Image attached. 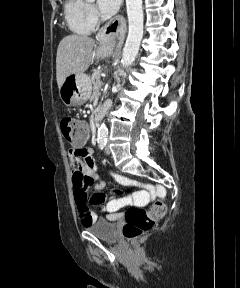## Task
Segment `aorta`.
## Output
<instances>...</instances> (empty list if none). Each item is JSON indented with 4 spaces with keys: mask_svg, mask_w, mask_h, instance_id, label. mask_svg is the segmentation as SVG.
Segmentation results:
<instances>
[{
    "mask_svg": "<svg viewBox=\"0 0 240 288\" xmlns=\"http://www.w3.org/2000/svg\"><path fill=\"white\" fill-rule=\"evenodd\" d=\"M128 17V36L123 48L122 66H130L138 54L140 43L143 38L144 15L142 9V0H126ZM98 140L105 141L108 137V129L105 123L98 128Z\"/></svg>",
    "mask_w": 240,
    "mask_h": 288,
    "instance_id": "762f6f07",
    "label": "aorta"
}]
</instances>
